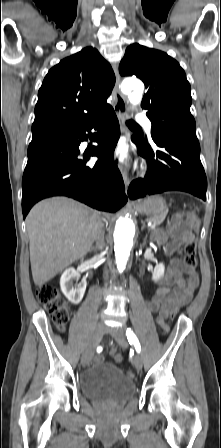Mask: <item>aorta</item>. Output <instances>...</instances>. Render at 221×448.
Here are the masks:
<instances>
[{"label":"aorta","instance_id":"aorta-1","mask_svg":"<svg viewBox=\"0 0 221 448\" xmlns=\"http://www.w3.org/2000/svg\"><path fill=\"white\" fill-rule=\"evenodd\" d=\"M122 91L128 95L130 103L137 105L142 100L144 85L138 79H126L121 85ZM135 225L129 218H119L114 230V250L117 268L120 272L125 269L127 260L133 247Z\"/></svg>","mask_w":221,"mask_h":448}]
</instances>
